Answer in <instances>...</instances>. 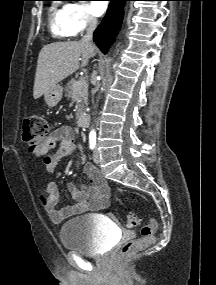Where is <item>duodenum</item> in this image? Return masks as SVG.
Listing matches in <instances>:
<instances>
[{"instance_id": "duodenum-1", "label": "duodenum", "mask_w": 216, "mask_h": 285, "mask_svg": "<svg viewBox=\"0 0 216 285\" xmlns=\"http://www.w3.org/2000/svg\"><path fill=\"white\" fill-rule=\"evenodd\" d=\"M89 124V119L86 115H80L78 118V125L82 128L87 127Z\"/></svg>"}]
</instances>
